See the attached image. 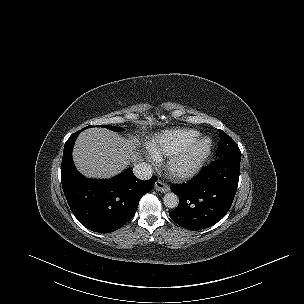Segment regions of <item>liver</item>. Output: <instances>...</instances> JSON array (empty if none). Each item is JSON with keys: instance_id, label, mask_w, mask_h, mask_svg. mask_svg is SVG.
Masks as SVG:
<instances>
[{"instance_id": "obj_1", "label": "liver", "mask_w": 304, "mask_h": 304, "mask_svg": "<svg viewBox=\"0 0 304 304\" xmlns=\"http://www.w3.org/2000/svg\"><path fill=\"white\" fill-rule=\"evenodd\" d=\"M138 145L136 138L127 140L105 128H90L79 135L73 160L86 177L111 178L141 158Z\"/></svg>"}]
</instances>
